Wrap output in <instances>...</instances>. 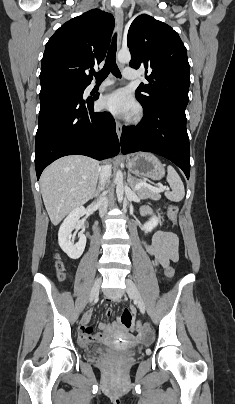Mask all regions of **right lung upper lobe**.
Instances as JSON below:
<instances>
[{"instance_id":"right-lung-upper-lobe-1","label":"right lung upper lobe","mask_w":235,"mask_h":404,"mask_svg":"<svg viewBox=\"0 0 235 404\" xmlns=\"http://www.w3.org/2000/svg\"><path fill=\"white\" fill-rule=\"evenodd\" d=\"M114 29L112 14L92 9L64 23L49 39L42 58L41 85H89L87 70L105 57Z\"/></svg>"}]
</instances>
